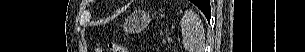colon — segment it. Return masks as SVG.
I'll list each match as a JSON object with an SVG mask.
<instances>
[{
	"mask_svg": "<svg viewBox=\"0 0 305 52\" xmlns=\"http://www.w3.org/2000/svg\"><path fill=\"white\" fill-rule=\"evenodd\" d=\"M98 52H105V51H110V52H127V49L125 48L124 45L116 42H108L106 44H102L99 46L97 49Z\"/></svg>",
	"mask_w": 305,
	"mask_h": 52,
	"instance_id": "1",
	"label": "colon"
}]
</instances>
